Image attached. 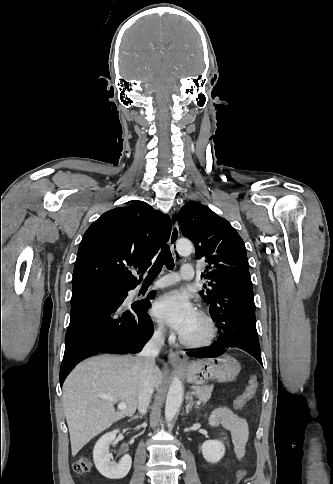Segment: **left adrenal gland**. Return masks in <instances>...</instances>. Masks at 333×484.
I'll use <instances>...</instances> for the list:
<instances>
[{"label":"left adrenal gland","instance_id":"1","mask_svg":"<svg viewBox=\"0 0 333 484\" xmlns=\"http://www.w3.org/2000/svg\"><path fill=\"white\" fill-rule=\"evenodd\" d=\"M192 407L199 408L197 404L193 402V397L191 395L187 396L186 413L188 414Z\"/></svg>","mask_w":333,"mask_h":484}]
</instances>
